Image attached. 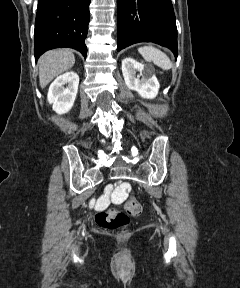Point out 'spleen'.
I'll return each instance as SVG.
<instances>
[{"instance_id": "1", "label": "spleen", "mask_w": 240, "mask_h": 288, "mask_svg": "<svg viewBox=\"0 0 240 288\" xmlns=\"http://www.w3.org/2000/svg\"><path fill=\"white\" fill-rule=\"evenodd\" d=\"M138 51L146 61H152L163 70H169L172 68V62L169 57L161 50L153 46H144L140 47Z\"/></svg>"}]
</instances>
